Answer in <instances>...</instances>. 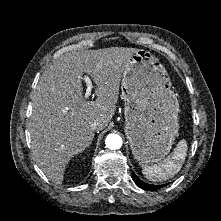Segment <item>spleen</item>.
I'll list each match as a JSON object with an SVG mask.
<instances>
[{"mask_svg": "<svg viewBox=\"0 0 221 221\" xmlns=\"http://www.w3.org/2000/svg\"><path fill=\"white\" fill-rule=\"evenodd\" d=\"M187 149L186 140H180L172 154L167 156L162 162L152 166H144L142 170L143 175L152 182H160L172 178L182 168L187 155Z\"/></svg>", "mask_w": 221, "mask_h": 221, "instance_id": "3e777b00", "label": "spleen"}]
</instances>
